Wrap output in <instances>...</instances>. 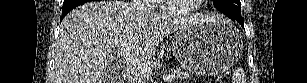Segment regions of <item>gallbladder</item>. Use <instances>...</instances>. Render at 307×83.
<instances>
[{
  "label": "gallbladder",
  "mask_w": 307,
  "mask_h": 83,
  "mask_svg": "<svg viewBox=\"0 0 307 83\" xmlns=\"http://www.w3.org/2000/svg\"><path fill=\"white\" fill-rule=\"evenodd\" d=\"M107 76H108V78H107ZM104 77H105V81L104 82L111 83L113 81H109V77H114V74L111 71H106L105 74H104Z\"/></svg>",
  "instance_id": "1"
}]
</instances>
